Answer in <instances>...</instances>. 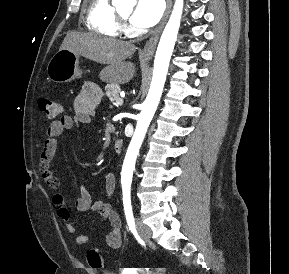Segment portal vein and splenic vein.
Here are the masks:
<instances>
[{
    "label": "portal vein and splenic vein",
    "mask_w": 289,
    "mask_h": 274,
    "mask_svg": "<svg viewBox=\"0 0 289 274\" xmlns=\"http://www.w3.org/2000/svg\"><path fill=\"white\" fill-rule=\"evenodd\" d=\"M115 103H116L117 105H122V104H123V99H122V98H118V99L115 101Z\"/></svg>",
    "instance_id": "obj_1"
}]
</instances>
